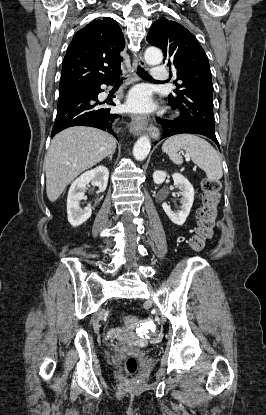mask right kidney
I'll return each mask as SVG.
<instances>
[{
	"label": "right kidney",
	"mask_w": 266,
	"mask_h": 415,
	"mask_svg": "<svg viewBox=\"0 0 266 415\" xmlns=\"http://www.w3.org/2000/svg\"><path fill=\"white\" fill-rule=\"evenodd\" d=\"M109 178V171L105 166H98L83 173L72 184L67 197V215L69 223L77 227L87 221L92 214L91 204L81 209L80 201L84 199V189L92 182L99 188V193L104 192Z\"/></svg>",
	"instance_id": "obj_1"
}]
</instances>
